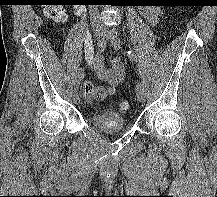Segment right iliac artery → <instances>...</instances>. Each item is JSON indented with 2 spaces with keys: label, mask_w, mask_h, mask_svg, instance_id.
Masks as SVG:
<instances>
[{
  "label": "right iliac artery",
  "mask_w": 217,
  "mask_h": 197,
  "mask_svg": "<svg viewBox=\"0 0 217 197\" xmlns=\"http://www.w3.org/2000/svg\"><path fill=\"white\" fill-rule=\"evenodd\" d=\"M105 45V37L102 35V36H99L98 37V46H103ZM83 72L82 71H79L76 76H75V83H74V90L75 91H78L79 88H80V85H81V81L83 79Z\"/></svg>",
  "instance_id": "obj_1"
}]
</instances>
